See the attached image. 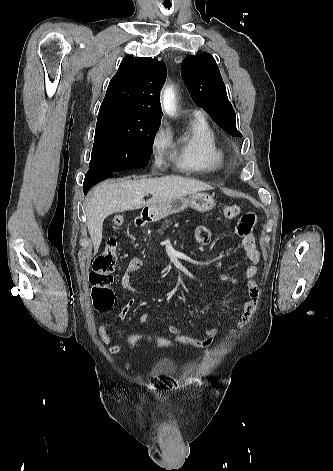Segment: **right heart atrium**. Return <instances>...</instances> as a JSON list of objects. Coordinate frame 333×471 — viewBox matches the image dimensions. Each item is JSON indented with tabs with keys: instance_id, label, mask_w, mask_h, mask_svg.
Listing matches in <instances>:
<instances>
[{
	"instance_id": "right-heart-atrium-1",
	"label": "right heart atrium",
	"mask_w": 333,
	"mask_h": 471,
	"mask_svg": "<svg viewBox=\"0 0 333 471\" xmlns=\"http://www.w3.org/2000/svg\"><path fill=\"white\" fill-rule=\"evenodd\" d=\"M169 144L168 130L161 126L151 138V151L156 163H160Z\"/></svg>"
}]
</instances>
